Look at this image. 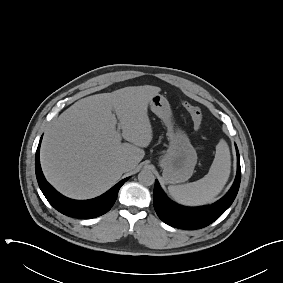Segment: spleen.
I'll return each mask as SVG.
<instances>
[{
	"mask_svg": "<svg viewBox=\"0 0 283 283\" xmlns=\"http://www.w3.org/2000/svg\"><path fill=\"white\" fill-rule=\"evenodd\" d=\"M230 168L229 147L224 140H220L208 174L192 183L171 185L168 191L175 201L183 205L199 206L212 203L228 181Z\"/></svg>",
	"mask_w": 283,
	"mask_h": 283,
	"instance_id": "obj_1",
	"label": "spleen"
}]
</instances>
